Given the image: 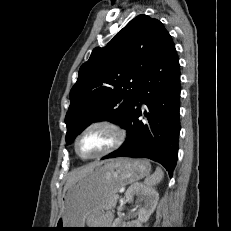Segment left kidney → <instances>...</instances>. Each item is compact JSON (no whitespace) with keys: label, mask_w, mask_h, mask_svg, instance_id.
<instances>
[{"label":"left kidney","mask_w":231,"mask_h":231,"mask_svg":"<svg viewBox=\"0 0 231 231\" xmlns=\"http://www.w3.org/2000/svg\"><path fill=\"white\" fill-rule=\"evenodd\" d=\"M134 196H137L139 202L144 203L143 206L139 207L138 219L135 221V225L139 227L142 223L147 222L154 212L159 200V194L152 188L145 187L142 184H134L125 193L126 201L131 202ZM119 223L120 220L116 219L113 225L117 226Z\"/></svg>","instance_id":"1"}]
</instances>
